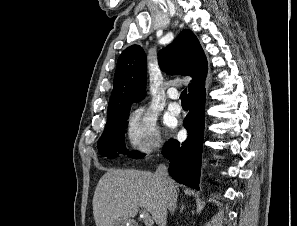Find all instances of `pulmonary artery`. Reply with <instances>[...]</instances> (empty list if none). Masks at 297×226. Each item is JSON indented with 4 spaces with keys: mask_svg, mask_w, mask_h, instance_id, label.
Masks as SVG:
<instances>
[{
    "mask_svg": "<svg viewBox=\"0 0 297 226\" xmlns=\"http://www.w3.org/2000/svg\"><path fill=\"white\" fill-rule=\"evenodd\" d=\"M168 95L173 100L177 99L178 97L176 90L169 91ZM168 111L173 115H178L181 112V105L175 101H172L168 105Z\"/></svg>",
    "mask_w": 297,
    "mask_h": 226,
    "instance_id": "1",
    "label": "pulmonary artery"
}]
</instances>
